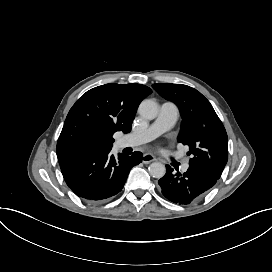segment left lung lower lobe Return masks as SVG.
Here are the masks:
<instances>
[{
	"label": "left lung lower lobe",
	"instance_id": "left-lung-lower-lobe-1",
	"mask_svg": "<svg viewBox=\"0 0 272 272\" xmlns=\"http://www.w3.org/2000/svg\"><path fill=\"white\" fill-rule=\"evenodd\" d=\"M173 171L169 165H166V174L158 183L165 198L180 205H188L197 201L218 180L211 173L198 167L190 166L183 175L178 172L174 173Z\"/></svg>",
	"mask_w": 272,
	"mask_h": 272
}]
</instances>
